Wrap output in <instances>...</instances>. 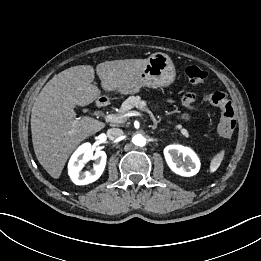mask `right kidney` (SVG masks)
I'll return each instance as SVG.
<instances>
[{
	"label": "right kidney",
	"instance_id": "right-kidney-1",
	"mask_svg": "<svg viewBox=\"0 0 261 261\" xmlns=\"http://www.w3.org/2000/svg\"><path fill=\"white\" fill-rule=\"evenodd\" d=\"M106 153L96 151L93 153L90 143L82 144L71 156L68 163V174L76 185H87L96 181L103 173L106 165ZM94 160L93 169L82 171L87 160Z\"/></svg>",
	"mask_w": 261,
	"mask_h": 261
}]
</instances>
